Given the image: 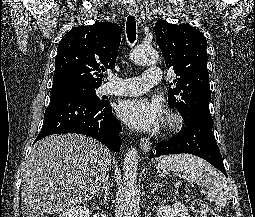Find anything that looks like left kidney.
Here are the masks:
<instances>
[{
    "label": "left kidney",
    "instance_id": "1",
    "mask_svg": "<svg viewBox=\"0 0 255 217\" xmlns=\"http://www.w3.org/2000/svg\"><path fill=\"white\" fill-rule=\"evenodd\" d=\"M157 217H191L188 210L181 202H175L171 205L162 204L156 209Z\"/></svg>",
    "mask_w": 255,
    "mask_h": 217
}]
</instances>
